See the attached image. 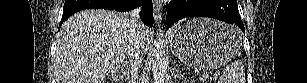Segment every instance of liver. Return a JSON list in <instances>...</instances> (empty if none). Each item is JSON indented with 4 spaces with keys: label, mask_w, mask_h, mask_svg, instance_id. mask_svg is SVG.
Segmentation results:
<instances>
[{
    "label": "liver",
    "mask_w": 307,
    "mask_h": 83,
    "mask_svg": "<svg viewBox=\"0 0 307 83\" xmlns=\"http://www.w3.org/2000/svg\"><path fill=\"white\" fill-rule=\"evenodd\" d=\"M139 31L141 47L148 50L152 32L145 25ZM130 34V18L124 12L83 10L71 16L57 38V83H102L124 61Z\"/></svg>",
    "instance_id": "6515ba94"
}]
</instances>
